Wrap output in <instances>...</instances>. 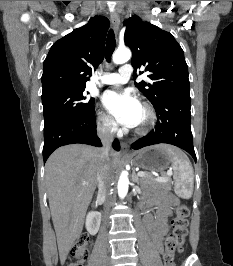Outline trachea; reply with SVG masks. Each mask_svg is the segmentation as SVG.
I'll return each instance as SVG.
<instances>
[{
	"mask_svg": "<svg viewBox=\"0 0 233 266\" xmlns=\"http://www.w3.org/2000/svg\"><path fill=\"white\" fill-rule=\"evenodd\" d=\"M115 50V35L113 30L111 29L107 36L106 41V60L107 62L111 61L112 54Z\"/></svg>",
	"mask_w": 233,
	"mask_h": 266,
	"instance_id": "3493384b",
	"label": "trachea"
}]
</instances>
